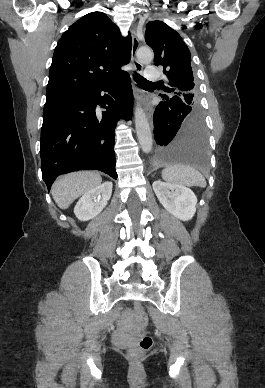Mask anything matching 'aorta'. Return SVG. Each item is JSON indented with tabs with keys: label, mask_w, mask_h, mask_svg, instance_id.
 Instances as JSON below:
<instances>
[{
	"label": "aorta",
	"mask_w": 265,
	"mask_h": 388,
	"mask_svg": "<svg viewBox=\"0 0 265 388\" xmlns=\"http://www.w3.org/2000/svg\"><path fill=\"white\" fill-rule=\"evenodd\" d=\"M137 59L141 63H150L153 60V52L149 48H140L136 53ZM135 128L141 149L149 153L152 149V133L147 117L140 106L135 109Z\"/></svg>",
	"instance_id": "aorta-1"
}]
</instances>
